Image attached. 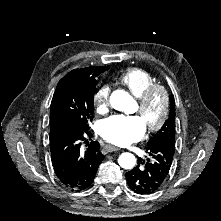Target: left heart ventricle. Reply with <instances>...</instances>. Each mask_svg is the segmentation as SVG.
<instances>
[{"label": "left heart ventricle", "mask_w": 221, "mask_h": 221, "mask_svg": "<svg viewBox=\"0 0 221 221\" xmlns=\"http://www.w3.org/2000/svg\"><path fill=\"white\" fill-rule=\"evenodd\" d=\"M161 108H162V100L159 96H156L150 103L147 112L144 115H141L138 111V107L136 109V114H138L143 121L144 125L146 126L147 124L154 123L160 113H161Z\"/></svg>", "instance_id": "b2bd125f"}]
</instances>
